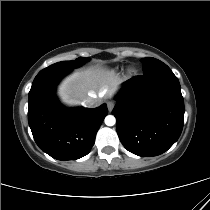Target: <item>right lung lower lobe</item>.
I'll list each match as a JSON object with an SVG mask.
<instances>
[{
	"label": "right lung lower lobe",
	"instance_id": "1",
	"mask_svg": "<svg viewBox=\"0 0 210 210\" xmlns=\"http://www.w3.org/2000/svg\"><path fill=\"white\" fill-rule=\"evenodd\" d=\"M67 68H45L35 77L29 92L28 122L39 148L58 160H75L89 153L96 133L108 113L98 108L67 109L55 96Z\"/></svg>",
	"mask_w": 210,
	"mask_h": 210
}]
</instances>
